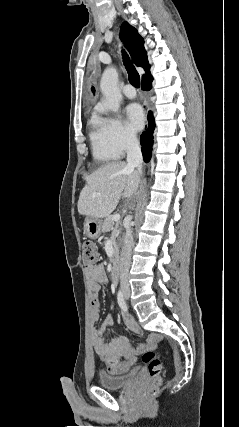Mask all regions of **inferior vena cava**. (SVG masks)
Wrapping results in <instances>:
<instances>
[{
  "instance_id": "obj_1",
  "label": "inferior vena cava",
  "mask_w": 239,
  "mask_h": 427,
  "mask_svg": "<svg viewBox=\"0 0 239 427\" xmlns=\"http://www.w3.org/2000/svg\"><path fill=\"white\" fill-rule=\"evenodd\" d=\"M127 167L130 169L137 168L139 173L142 172V153L138 139L135 135H129L126 140ZM133 248V236L130 227L126 229L124 244L121 250L119 270L120 285L123 290H129V269L131 264V253Z\"/></svg>"
}]
</instances>
